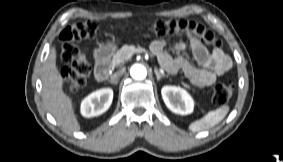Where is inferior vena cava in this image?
Wrapping results in <instances>:
<instances>
[{
  "label": "inferior vena cava",
  "mask_w": 283,
  "mask_h": 162,
  "mask_svg": "<svg viewBox=\"0 0 283 162\" xmlns=\"http://www.w3.org/2000/svg\"><path fill=\"white\" fill-rule=\"evenodd\" d=\"M124 72H125V69H121L120 71L114 73L111 76V80L115 81V82H118V79L124 74Z\"/></svg>",
  "instance_id": "602c4592"
}]
</instances>
